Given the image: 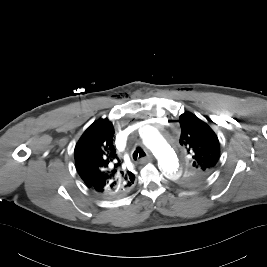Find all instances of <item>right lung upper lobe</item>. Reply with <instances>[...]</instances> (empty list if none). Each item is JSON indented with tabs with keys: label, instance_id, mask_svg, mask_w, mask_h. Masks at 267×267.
<instances>
[{
	"label": "right lung upper lobe",
	"instance_id": "right-lung-upper-lobe-1",
	"mask_svg": "<svg viewBox=\"0 0 267 267\" xmlns=\"http://www.w3.org/2000/svg\"><path fill=\"white\" fill-rule=\"evenodd\" d=\"M114 128L108 119L95 121L75 146L76 169L86 186L104 197L125 195L135 175L122 167L113 145Z\"/></svg>",
	"mask_w": 267,
	"mask_h": 267
}]
</instances>
